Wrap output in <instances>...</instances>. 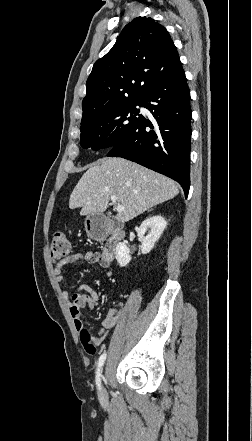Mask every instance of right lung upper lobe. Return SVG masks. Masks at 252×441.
<instances>
[{
  "label": "right lung upper lobe",
  "mask_w": 252,
  "mask_h": 441,
  "mask_svg": "<svg viewBox=\"0 0 252 441\" xmlns=\"http://www.w3.org/2000/svg\"><path fill=\"white\" fill-rule=\"evenodd\" d=\"M179 61L165 27L152 18H135L112 49L95 62L86 82L81 123L100 112L142 100Z\"/></svg>",
  "instance_id": "right-lung-upper-lobe-1"
}]
</instances>
